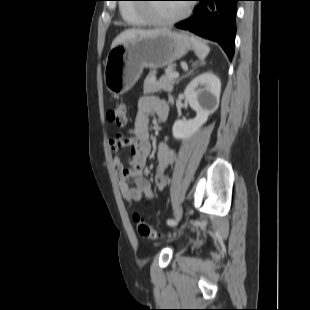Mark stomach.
Wrapping results in <instances>:
<instances>
[{
	"label": "stomach",
	"mask_w": 310,
	"mask_h": 310,
	"mask_svg": "<svg viewBox=\"0 0 310 310\" xmlns=\"http://www.w3.org/2000/svg\"><path fill=\"white\" fill-rule=\"evenodd\" d=\"M193 47L189 36L170 30L121 43L107 55L105 85L114 95L126 93L135 85L144 68L169 66Z\"/></svg>",
	"instance_id": "obj_1"
}]
</instances>
